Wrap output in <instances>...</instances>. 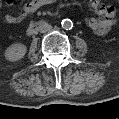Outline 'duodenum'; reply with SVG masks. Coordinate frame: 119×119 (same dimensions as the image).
<instances>
[{"instance_id":"1","label":"duodenum","mask_w":119,"mask_h":119,"mask_svg":"<svg viewBox=\"0 0 119 119\" xmlns=\"http://www.w3.org/2000/svg\"><path fill=\"white\" fill-rule=\"evenodd\" d=\"M45 23V21H38L30 24L27 30L28 35L35 34Z\"/></svg>"}]
</instances>
